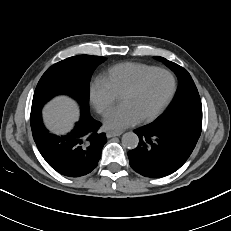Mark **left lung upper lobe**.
Instances as JSON below:
<instances>
[{"label": "left lung upper lobe", "instance_id": "left-lung-upper-lobe-1", "mask_svg": "<svg viewBox=\"0 0 231 231\" xmlns=\"http://www.w3.org/2000/svg\"><path fill=\"white\" fill-rule=\"evenodd\" d=\"M168 66L178 78V90L167 112L155 123H174L192 121L202 123V104L190 74L178 64L163 57H155Z\"/></svg>", "mask_w": 231, "mask_h": 231}]
</instances>
